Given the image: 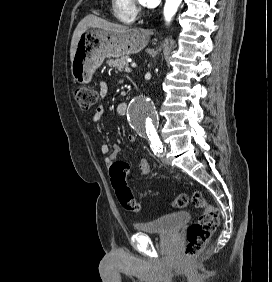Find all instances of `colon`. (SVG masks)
Masks as SVG:
<instances>
[{
  "instance_id": "obj_1",
  "label": "colon",
  "mask_w": 272,
  "mask_h": 282,
  "mask_svg": "<svg viewBox=\"0 0 272 282\" xmlns=\"http://www.w3.org/2000/svg\"><path fill=\"white\" fill-rule=\"evenodd\" d=\"M74 97L82 110L92 109L98 101L97 93L87 87H79L75 90ZM125 167L122 162L114 163L111 168L114 176V188L121 206L129 212L138 213L141 210L140 204L135 200L130 188L124 181ZM195 207L201 209L198 219L190 225L187 232V244L185 247L184 259L192 261L200 253L208 242L213 231L219 226V213L217 208L210 204L203 194L195 191L191 196ZM174 207L181 209L188 204V195L179 194L174 199Z\"/></svg>"
}]
</instances>
